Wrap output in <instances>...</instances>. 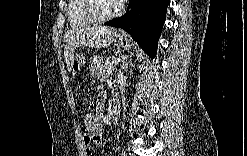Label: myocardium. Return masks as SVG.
Returning a JSON list of instances; mask_svg holds the SVG:
<instances>
[{"label": "myocardium", "instance_id": "myocardium-1", "mask_svg": "<svg viewBox=\"0 0 247 156\" xmlns=\"http://www.w3.org/2000/svg\"><path fill=\"white\" fill-rule=\"evenodd\" d=\"M97 1L94 0H87L84 3V13L85 15L93 22V23H104V22H108L111 21L115 18H117L118 16L121 15L123 7L121 4H117V7L115 8L114 12L106 15V16H100L97 15L94 11V4Z\"/></svg>", "mask_w": 247, "mask_h": 156}]
</instances>
